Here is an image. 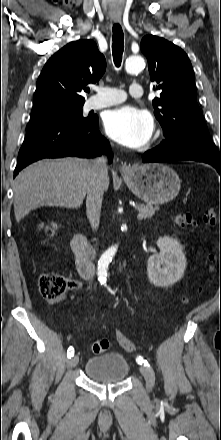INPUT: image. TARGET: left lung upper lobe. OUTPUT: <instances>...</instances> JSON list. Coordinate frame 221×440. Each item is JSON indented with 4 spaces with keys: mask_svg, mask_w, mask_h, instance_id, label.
Here are the masks:
<instances>
[{
    "mask_svg": "<svg viewBox=\"0 0 221 440\" xmlns=\"http://www.w3.org/2000/svg\"><path fill=\"white\" fill-rule=\"evenodd\" d=\"M141 51L149 64L154 90V114L163 128L169 147L180 151H205L221 154L209 135L196 101L195 75L186 53L164 38L147 35Z\"/></svg>",
    "mask_w": 221,
    "mask_h": 440,
    "instance_id": "left-lung-upper-lobe-1",
    "label": "left lung upper lobe"
}]
</instances>
